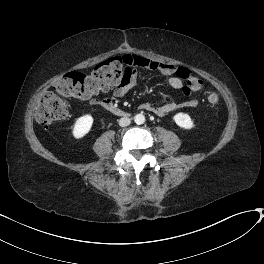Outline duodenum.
I'll return each mask as SVG.
<instances>
[{
    "label": "duodenum",
    "mask_w": 264,
    "mask_h": 264,
    "mask_svg": "<svg viewBox=\"0 0 264 264\" xmlns=\"http://www.w3.org/2000/svg\"><path fill=\"white\" fill-rule=\"evenodd\" d=\"M101 106L106 109L107 111L119 115V116H125L127 115V111H125L124 109H122L121 107L115 105L114 103H112L109 100H102L101 101Z\"/></svg>",
    "instance_id": "duodenum-1"
}]
</instances>
